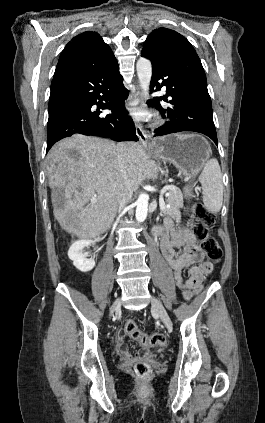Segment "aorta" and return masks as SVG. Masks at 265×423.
<instances>
[{
  "label": "aorta",
  "instance_id": "aorta-1",
  "mask_svg": "<svg viewBox=\"0 0 265 423\" xmlns=\"http://www.w3.org/2000/svg\"><path fill=\"white\" fill-rule=\"evenodd\" d=\"M137 75L143 94L149 93L152 77V65L150 60L140 57L136 64ZM148 213V195L141 193L136 201L135 217L138 222H144Z\"/></svg>",
  "mask_w": 265,
  "mask_h": 423
}]
</instances>
